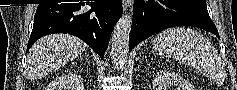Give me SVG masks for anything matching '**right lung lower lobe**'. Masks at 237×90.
Wrapping results in <instances>:
<instances>
[{
    "label": "right lung lower lobe",
    "mask_w": 237,
    "mask_h": 90,
    "mask_svg": "<svg viewBox=\"0 0 237 90\" xmlns=\"http://www.w3.org/2000/svg\"><path fill=\"white\" fill-rule=\"evenodd\" d=\"M121 15V0L39 4L27 51L42 36L68 33L82 39L103 58Z\"/></svg>",
    "instance_id": "1"
}]
</instances>
